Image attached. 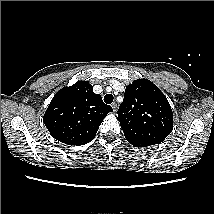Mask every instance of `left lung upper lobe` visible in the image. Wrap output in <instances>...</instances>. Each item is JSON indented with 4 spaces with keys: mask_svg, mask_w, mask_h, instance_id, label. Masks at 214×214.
<instances>
[{
    "mask_svg": "<svg viewBox=\"0 0 214 214\" xmlns=\"http://www.w3.org/2000/svg\"><path fill=\"white\" fill-rule=\"evenodd\" d=\"M117 113L125 138L132 145L159 144L173 129V113L167 98L147 79L135 80L126 87Z\"/></svg>",
    "mask_w": 214,
    "mask_h": 214,
    "instance_id": "5c2ea615",
    "label": "left lung upper lobe"
}]
</instances>
